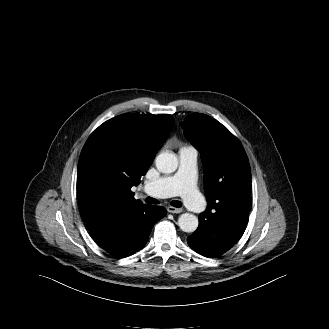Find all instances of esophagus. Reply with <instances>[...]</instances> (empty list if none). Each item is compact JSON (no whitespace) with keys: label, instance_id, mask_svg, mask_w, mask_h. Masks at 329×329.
Masks as SVG:
<instances>
[{"label":"esophagus","instance_id":"1","mask_svg":"<svg viewBox=\"0 0 329 329\" xmlns=\"http://www.w3.org/2000/svg\"><path fill=\"white\" fill-rule=\"evenodd\" d=\"M167 211L170 212V213H181L183 211L182 208H176V207H173V206H168L167 207Z\"/></svg>","mask_w":329,"mask_h":329}]
</instances>
